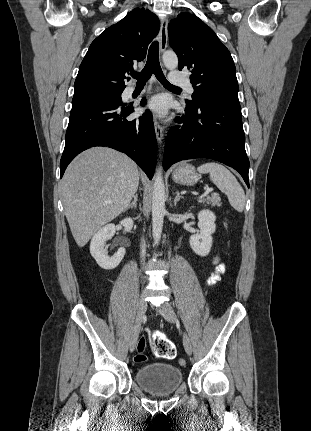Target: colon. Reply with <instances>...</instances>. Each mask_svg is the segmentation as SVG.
I'll use <instances>...</instances> for the list:
<instances>
[{
	"instance_id": "obj_1",
	"label": "colon",
	"mask_w": 311,
	"mask_h": 431,
	"mask_svg": "<svg viewBox=\"0 0 311 431\" xmlns=\"http://www.w3.org/2000/svg\"><path fill=\"white\" fill-rule=\"evenodd\" d=\"M145 349H146V339L144 337H141L137 345L138 353L134 357L135 362L142 363L146 361ZM152 350L154 355L157 358H162V359H172L175 357V354H176V349L174 344L163 336H158L154 339L152 343ZM178 364L180 366H185L186 360L183 358H180L178 360Z\"/></svg>"
}]
</instances>
